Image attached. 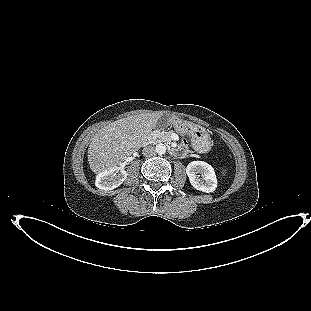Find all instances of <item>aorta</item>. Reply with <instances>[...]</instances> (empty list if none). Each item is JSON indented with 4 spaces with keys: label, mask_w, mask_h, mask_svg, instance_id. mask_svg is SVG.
Returning <instances> with one entry per match:
<instances>
[{
    "label": "aorta",
    "mask_w": 311,
    "mask_h": 311,
    "mask_svg": "<svg viewBox=\"0 0 311 311\" xmlns=\"http://www.w3.org/2000/svg\"><path fill=\"white\" fill-rule=\"evenodd\" d=\"M155 152L158 154V155H163L166 153V146L162 143L160 144H157L156 147H155Z\"/></svg>",
    "instance_id": "aorta-1"
}]
</instances>
